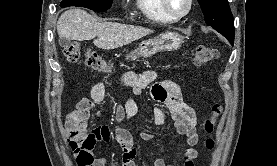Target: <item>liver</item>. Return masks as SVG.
<instances>
[{
	"mask_svg": "<svg viewBox=\"0 0 277 166\" xmlns=\"http://www.w3.org/2000/svg\"><path fill=\"white\" fill-rule=\"evenodd\" d=\"M57 33L59 38L77 41L91 40L97 36L94 45L111 50L149 35L153 30L116 22H97L85 10L74 8L61 14L57 21Z\"/></svg>",
	"mask_w": 277,
	"mask_h": 166,
	"instance_id": "1",
	"label": "liver"
}]
</instances>
